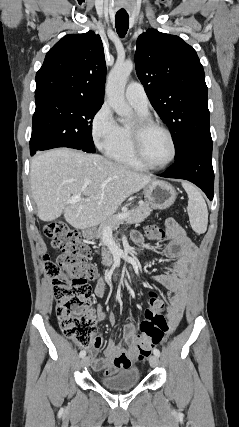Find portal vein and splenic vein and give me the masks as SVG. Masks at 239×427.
<instances>
[{
    "label": "portal vein and splenic vein",
    "instance_id": "obj_1",
    "mask_svg": "<svg viewBox=\"0 0 239 427\" xmlns=\"http://www.w3.org/2000/svg\"><path fill=\"white\" fill-rule=\"evenodd\" d=\"M82 200V198H81V195L80 194H78V195H75V196H72L71 198H69L68 200H67V203H69V204H74V203H77V202H80ZM128 216V213H123V214H119V215H117V219L118 220H122V219H125L126 217ZM111 228L109 227V226H107L106 228H105V231H109Z\"/></svg>",
    "mask_w": 239,
    "mask_h": 427
}]
</instances>
